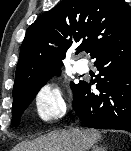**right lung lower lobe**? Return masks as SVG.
<instances>
[{
    "label": "right lung lower lobe",
    "instance_id": "right-lung-lower-lobe-1",
    "mask_svg": "<svg viewBox=\"0 0 131 151\" xmlns=\"http://www.w3.org/2000/svg\"><path fill=\"white\" fill-rule=\"evenodd\" d=\"M91 58L99 70V92L80 81L73 90L75 113L88 127L131 132V32L100 47Z\"/></svg>",
    "mask_w": 131,
    "mask_h": 151
}]
</instances>
